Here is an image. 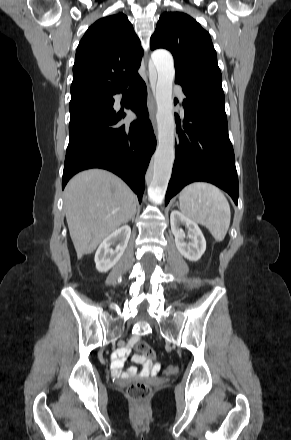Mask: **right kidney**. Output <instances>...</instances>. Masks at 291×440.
I'll use <instances>...</instances> for the list:
<instances>
[{"instance_id": "ca27d5eb", "label": "right kidney", "mask_w": 291, "mask_h": 440, "mask_svg": "<svg viewBox=\"0 0 291 440\" xmlns=\"http://www.w3.org/2000/svg\"><path fill=\"white\" fill-rule=\"evenodd\" d=\"M130 235L131 228L128 225H124L102 241L95 253L94 259L99 272H107L119 261L127 247ZM116 243L118 244L113 249L112 246Z\"/></svg>"}]
</instances>
